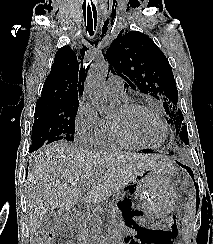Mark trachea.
I'll list each match as a JSON object with an SVG mask.
<instances>
[{"mask_svg":"<svg viewBox=\"0 0 213 244\" xmlns=\"http://www.w3.org/2000/svg\"><path fill=\"white\" fill-rule=\"evenodd\" d=\"M83 15L85 17V20L87 18L86 30L89 32V35L92 36L94 34L93 26H94V28H96V23H97L96 7L92 6V8L88 7L87 9L85 7L83 9Z\"/></svg>","mask_w":213,"mask_h":244,"instance_id":"1","label":"trachea"}]
</instances>
